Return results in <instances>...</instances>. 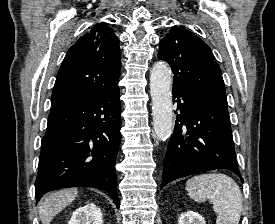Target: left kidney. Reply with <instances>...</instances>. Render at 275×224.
<instances>
[{
  "label": "left kidney",
  "instance_id": "1",
  "mask_svg": "<svg viewBox=\"0 0 275 224\" xmlns=\"http://www.w3.org/2000/svg\"><path fill=\"white\" fill-rule=\"evenodd\" d=\"M179 224H206V223L204 218L200 214L194 211H187L180 215Z\"/></svg>",
  "mask_w": 275,
  "mask_h": 224
}]
</instances>
